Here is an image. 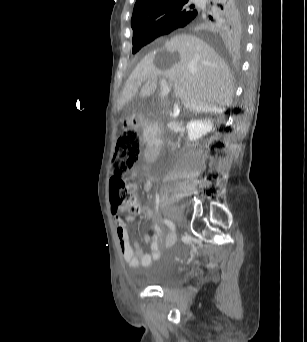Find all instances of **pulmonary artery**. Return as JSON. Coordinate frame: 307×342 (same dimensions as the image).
<instances>
[{"mask_svg": "<svg viewBox=\"0 0 307 342\" xmlns=\"http://www.w3.org/2000/svg\"><path fill=\"white\" fill-rule=\"evenodd\" d=\"M199 2H203L201 5H202V8H204L205 7V4H204L205 1H199Z\"/></svg>", "mask_w": 307, "mask_h": 342, "instance_id": "1", "label": "pulmonary artery"}]
</instances>
